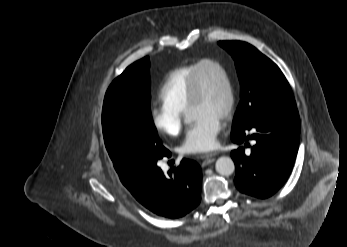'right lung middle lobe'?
I'll return each mask as SVG.
<instances>
[{"label": "right lung middle lobe", "instance_id": "obj_1", "mask_svg": "<svg viewBox=\"0 0 347 247\" xmlns=\"http://www.w3.org/2000/svg\"><path fill=\"white\" fill-rule=\"evenodd\" d=\"M150 62L133 63L108 88L102 111L106 149L117 170L165 154L150 112Z\"/></svg>", "mask_w": 347, "mask_h": 247}]
</instances>
